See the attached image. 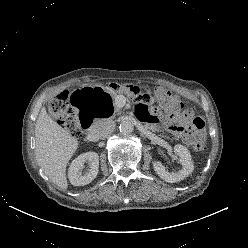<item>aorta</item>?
<instances>
[{
	"label": "aorta",
	"mask_w": 248,
	"mask_h": 248,
	"mask_svg": "<svg viewBox=\"0 0 248 248\" xmlns=\"http://www.w3.org/2000/svg\"><path fill=\"white\" fill-rule=\"evenodd\" d=\"M119 130L122 134L128 135L131 134L134 130V125L129 120H124L120 123Z\"/></svg>",
	"instance_id": "762f6f07"
}]
</instances>
